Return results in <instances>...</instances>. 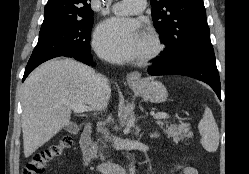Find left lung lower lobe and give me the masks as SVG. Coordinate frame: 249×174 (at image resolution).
<instances>
[{
  "mask_svg": "<svg viewBox=\"0 0 249 174\" xmlns=\"http://www.w3.org/2000/svg\"><path fill=\"white\" fill-rule=\"evenodd\" d=\"M150 75H184L210 85L221 100L220 79L214 51L192 55L175 62H165L161 57L148 68Z\"/></svg>",
  "mask_w": 249,
  "mask_h": 174,
  "instance_id": "0a47b994",
  "label": "left lung lower lobe"
}]
</instances>
